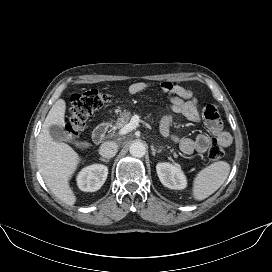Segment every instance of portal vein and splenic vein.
Listing matches in <instances>:
<instances>
[{
    "mask_svg": "<svg viewBox=\"0 0 272 272\" xmlns=\"http://www.w3.org/2000/svg\"><path fill=\"white\" fill-rule=\"evenodd\" d=\"M137 125H138V119L133 118V119H131V121L128 124H126L124 127H122L119 130L118 134L125 135V134L129 133L130 131H132L134 128H136Z\"/></svg>",
    "mask_w": 272,
    "mask_h": 272,
    "instance_id": "1",
    "label": "portal vein and splenic vein"
}]
</instances>
